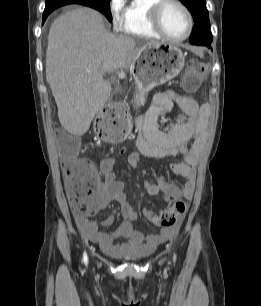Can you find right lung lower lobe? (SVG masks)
I'll return each mask as SVG.
<instances>
[{"label":"right lung lower lobe","instance_id":"1","mask_svg":"<svg viewBox=\"0 0 261 306\" xmlns=\"http://www.w3.org/2000/svg\"><path fill=\"white\" fill-rule=\"evenodd\" d=\"M51 12H44L43 13V23L45 22L46 18L48 17V15L50 14Z\"/></svg>","mask_w":261,"mask_h":306}]
</instances>
